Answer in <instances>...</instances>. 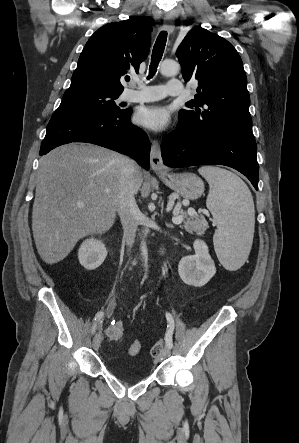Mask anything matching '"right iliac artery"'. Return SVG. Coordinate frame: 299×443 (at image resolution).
I'll use <instances>...</instances> for the list:
<instances>
[{
    "label": "right iliac artery",
    "instance_id": "82829eb1",
    "mask_svg": "<svg viewBox=\"0 0 299 443\" xmlns=\"http://www.w3.org/2000/svg\"><path fill=\"white\" fill-rule=\"evenodd\" d=\"M103 316H104V312H103V311H99V312L96 314V316H95V318H94L95 322H94V324H93V326H92V334L95 333V331H96V323H97V321H99L100 319H102Z\"/></svg>",
    "mask_w": 299,
    "mask_h": 443
}]
</instances>
